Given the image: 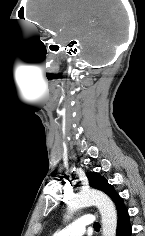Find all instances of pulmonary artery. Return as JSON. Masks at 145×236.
<instances>
[{"mask_svg": "<svg viewBox=\"0 0 145 236\" xmlns=\"http://www.w3.org/2000/svg\"><path fill=\"white\" fill-rule=\"evenodd\" d=\"M94 223V217L91 214L83 215L70 225L54 233V236H82L86 226Z\"/></svg>", "mask_w": 145, "mask_h": 236, "instance_id": "pulmonary-artery-1", "label": "pulmonary artery"}]
</instances>
